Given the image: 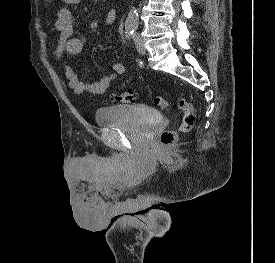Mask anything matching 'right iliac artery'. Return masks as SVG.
<instances>
[{"label":"right iliac artery","mask_w":275,"mask_h":263,"mask_svg":"<svg viewBox=\"0 0 275 263\" xmlns=\"http://www.w3.org/2000/svg\"><path fill=\"white\" fill-rule=\"evenodd\" d=\"M133 34H134V29L132 28H127L125 31V36L127 40H131V38H133Z\"/></svg>","instance_id":"82829eb1"}]
</instances>
